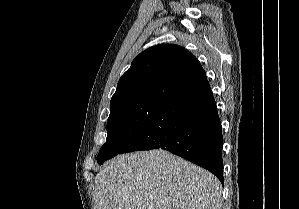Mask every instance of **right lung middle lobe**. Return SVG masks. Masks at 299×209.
Wrapping results in <instances>:
<instances>
[{"instance_id": "dd1d6c3e", "label": "right lung middle lobe", "mask_w": 299, "mask_h": 209, "mask_svg": "<svg viewBox=\"0 0 299 209\" xmlns=\"http://www.w3.org/2000/svg\"><path fill=\"white\" fill-rule=\"evenodd\" d=\"M162 103L145 101L110 109L107 139L97 156L98 164L119 154L144 128Z\"/></svg>"}]
</instances>
